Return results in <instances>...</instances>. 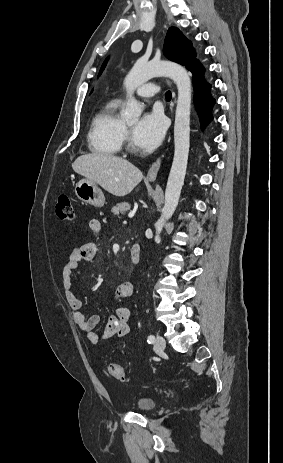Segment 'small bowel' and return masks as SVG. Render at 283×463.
Listing matches in <instances>:
<instances>
[{"label":"small bowel","instance_id":"1","mask_svg":"<svg viewBox=\"0 0 283 463\" xmlns=\"http://www.w3.org/2000/svg\"><path fill=\"white\" fill-rule=\"evenodd\" d=\"M89 229L97 235L101 230V223L98 219L93 218L89 221ZM97 253V245L94 242H88L80 247L70 250L68 258L62 269V284L66 301L71 309L72 317L78 327L84 331L92 344H97L101 340L112 337H124L129 333V322L131 318L130 309L125 306H119L115 313L111 315L102 332L98 334L95 329L100 323V317L96 314L87 317L83 312L82 301L73 291L72 273L82 263H90L94 260ZM134 286L131 282H122L115 290L113 299L118 302L128 298L133 294Z\"/></svg>","mask_w":283,"mask_h":463}]
</instances>
